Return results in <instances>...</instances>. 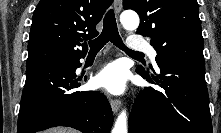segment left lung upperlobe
<instances>
[{
    "label": "left lung upper lobe",
    "instance_id": "left-lung-upper-lobe-1",
    "mask_svg": "<svg viewBox=\"0 0 221 133\" xmlns=\"http://www.w3.org/2000/svg\"><path fill=\"white\" fill-rule=\"evenodd\" d=\"M140 16L137 34L151 38L156 62L204 64L203 37L196 0H123Z\"/></svg>",
    "mask_w": 221,
    "mask_h": 133
}]
</instances>
